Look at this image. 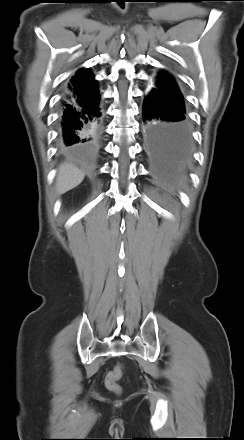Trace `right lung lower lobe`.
Segmentation results:
<instances>
[{"label": "right lung lower lobe", "mask_w": 244, "mask_h": 440, "mask_svg": "<svg viewBox=\"0 0 244 440\" xmlns=\"http://www.w3.org/2000/svg\"><path fill=\"white\" fill-rule=\"evenodd\" d=\"M99 104V94L87 99L63 100L58 127L61 149L73 151L97 138L102 122Z\"/></svg>", "instance_id": "obj_1"}]
</instances>
